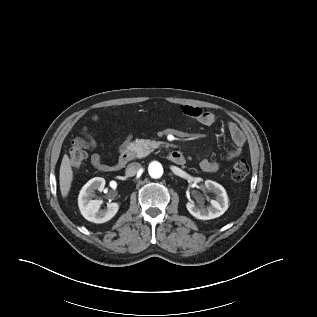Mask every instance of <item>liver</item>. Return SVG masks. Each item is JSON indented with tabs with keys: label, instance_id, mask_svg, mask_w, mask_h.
Instances as JSON below:
<instances>
[{
	"label": "liver",
	"instance_id": "obj_1",
	"mask_svg": "<svg viewBox=\"0 0 317 317\" xmlns=\"http://www.w3.org/2000/svg\"><path fill=\"white\" fill-rule=\"evenodd\" d=\"M72 179L73 171L70 165V160L67 155H64L59 172L60 191L63 198L67 197L70 191Z\"/></svg>",
	"mask_w": 317,
	"mask_h": 317
}]
</instances>
